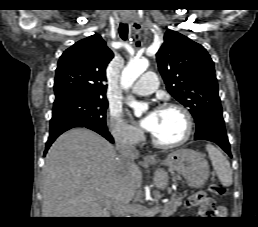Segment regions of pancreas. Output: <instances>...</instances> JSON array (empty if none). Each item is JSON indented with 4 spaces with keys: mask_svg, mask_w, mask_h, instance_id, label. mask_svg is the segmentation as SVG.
I'll return each instance as SVG.
<instances>
[{
    "mask_svg": "<svg viewBox=\"0 0 258 227\" xmlns=\"http://www.w3.org/2000/svg\"><path fill=\"white\" fill-rule=\"evenodd\" d=\"M186 195V192H184V195L180 194L179 196L174 195L171 200L167 203H165L163 206H158V208H144L142 212L135 213L132 217H152L151 214L160 213L159 217H169L181 204V200L183 196Z\"/></svg>",
    "mask_w": 258,
    "mask_h": 227,
    "instance_id": "obj_1",
    "label": "pancreas"
}]
</instances>
